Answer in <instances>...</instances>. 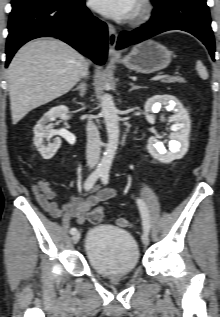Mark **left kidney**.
<instances>
[{
  "instance_id": "left-kidney-1",
  "label": "left kidney",
  "mask_w": 220,
  "mask_h": 317,
  "mask_svg": "<svg viewBox=\"0 0 220 317\" xmlns=\"http://www.w3.org/2000/svg\"><path fill=\"white\" fill-rule=\"evenodd\" d=\"M168 111H174L170 120L174 122L171 126L169 138V150H166L162 142L154 136L148 139V151L153 158L163 163H168L176 159H181L189 148L190 119L188 112L179 101L172 95H155L149 98L145 105V117L150 124H154L155 118L151 113H158L162 107Z\"/></svg>"
}]
</instances>
